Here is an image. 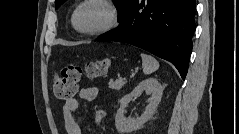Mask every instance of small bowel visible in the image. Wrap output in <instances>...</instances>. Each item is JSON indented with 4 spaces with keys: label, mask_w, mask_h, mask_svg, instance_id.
Masks as SVG:
<instances>
[{
    "label": "small bowel",
    "mask_w": 239,
    "mask_h": 134,
    "mask_svg": "<svg viewBox=\"0 0 239 134\" xmlns=\"http://www.w3.org/2000/svg\"><path fill=\"white\" fill-rule=\"evenodd\" d=\"M98 96V89L95 87H84L78 92V97L87 101H93ZM79 108V101L77 98L66 100L63 107V117L68 134H82V127L76 117V112Z\"/></svg>",
    "instance_id": "1"
}]
</instances>
